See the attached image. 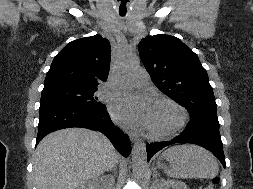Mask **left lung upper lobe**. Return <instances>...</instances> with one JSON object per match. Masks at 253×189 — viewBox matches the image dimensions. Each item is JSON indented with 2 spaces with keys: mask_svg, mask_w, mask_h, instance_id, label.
I'll use <instances>...</instances> for the list:
<instances>
[{
  "mask_svg": "<svg viewBox=\"0 0 253 189\" xmlns=\"http://www.w3.org/2000/svg\"><path fill=\"white\" fill-rule=\"evenodd\" d=\"M139 54L153 83L182 104L191 118L218 121L207 72L198 56L180 39L162 34L148 36L140 41Z\"/></svg>",
  "mask_w": 253,
  "mask_h": 189,
  "instance_id": "5c2ea615",
  "label": "left lung upper lobe"
}]
</instances>
